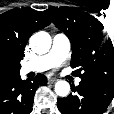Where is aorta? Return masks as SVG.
I'll return each instance as SVG.
<instances>
[{
    "mask_svg": "<svg viewBox=\"0 0 114 114\" xmlns=\"http://www.w3.org/2000/svg\"><path fill=\"white\" fill-rule=\"evenodd\" d=\"M51 37L47 32L40 31L33 34L30 38V46L37 54H45L51 47ZM55 92L61 97L70 93V85L67 81L60 80L55 84Z\"/></svg>",
    "mask_w": 114,
    "mask_h": 114,
    "instance_id": "1",
    "label": "aorta"
}]
</instances>
